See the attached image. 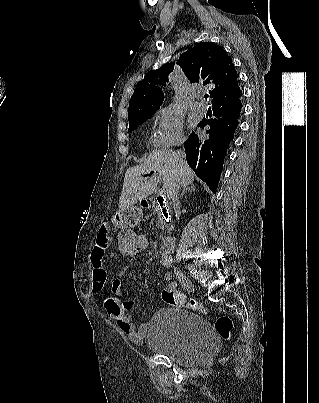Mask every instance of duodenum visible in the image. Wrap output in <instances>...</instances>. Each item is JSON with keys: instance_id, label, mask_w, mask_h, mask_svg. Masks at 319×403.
I'll list each match as a JSON object with an SVG mask.
<instances>
[{"instance_id": "obj_1", "label": "duodenum", "mask_w": 319, "mask_h": 403, "mask_svg": "<svg viewBox=\"0 0 319 403\" xmlns=\"http://www.w3.org/2000/svg\"><path fill=\"white\" fill-rule=\"evenodd\" d=\"M164 203L165 202L163 201L162 198H160V197L157 198V200H156L157 205L164 206ZM145 205L150 206V203L146 202ZM162 247H163V249H164L166 254L172 252L173 249H174V239L171 236L166 235L163 238Z\"/></svg>"}]
</instances>
